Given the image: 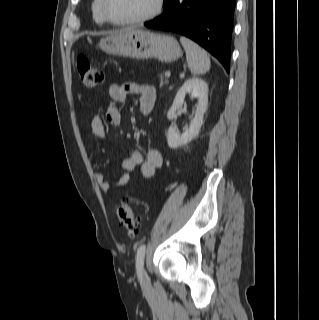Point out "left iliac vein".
I'll return each instance as SVG.
<instances>
[{
	"label": "left iliac vein",
	"instance_id": "4c4485c4",
	"mask_svg": "<svg viewBox=\"0 0 319 320\" xmlns=\"http://www.w3.org/2000/svg\"><path fill=\"white\" fill-rule=\"evenodd\" d=\"M142 281H143V283H147L148 282V278L144 274L142 275Z\"/></svg>",
	"mask_w": 319,
	"mask_h": 320
}]
</instances>
